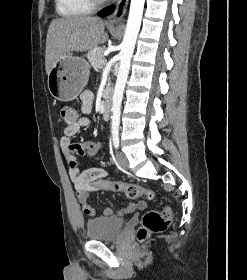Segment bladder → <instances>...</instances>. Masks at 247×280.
<instances>
[{"instance_id": "bladder-1", "label": "bladder", "mask_w": 247, "mask_h": 280, "mask_svg": "<svg viewBox=\"0 0 247 280\" xmlns=\"http://www.w3.org/2000/svg\"><path fill=\"white\" fill-rule=\"evenodd\" d=\"M124 228V220L118 217H98L86 222V237L90 240L112 241Z\"/></svg>"}]
</instances>
